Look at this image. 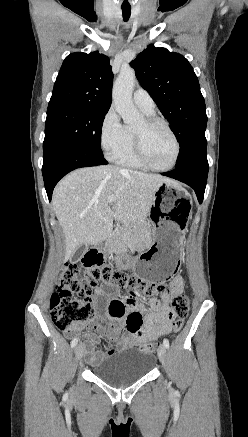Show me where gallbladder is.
<instances>
[{
  "mask_svg": "<svg viewBox=\"0 0 248 437\" xmlns=\"http://www.w3.org/2000/svg\"><path fill=\"white\" fill-rule=\"evenodd\" d=\"M85 250L86 246H80L72 256L73 261H78L83 256Z\"/></svg>",
  "mask_w": 248,
  "mask_h": 437,
  "instance_id": "obj_1",
  "label": "gallbladder"
}]
</instances>
